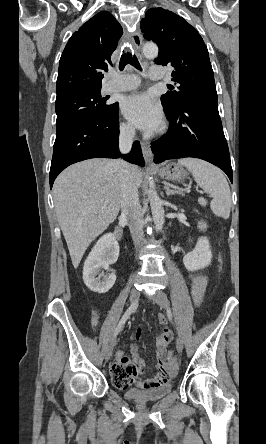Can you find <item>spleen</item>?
Masks as SVG:
<instances>
[{
	"label": "spleen",
	"mask_w": 266,
	"mask_h": 444,
	"mask_svg": "<svg viewBox=\"0 0 266 444\" xmlns=\"http://www.w3.org/2000/svg\"><path fill=\"white\" fill-rule=\"evenodd\" d=\"M180 165L191 171L196 183L211 194V210L216 216L227 219L230 215L231 194L228 182L223 172L197 158H182L178 160Z\"/></svg>",
	"instance_id": "obj_1"
}]
</instances>
